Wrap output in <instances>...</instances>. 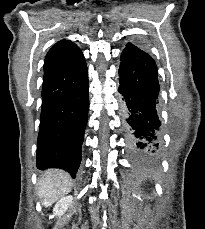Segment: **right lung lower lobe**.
I'll return each instance as SVG.
<instances>
[{"label":"right lung lower lobe","mask_w":205,"mask_h":229,"mask_svg":"<svg viewBox=\"0 0 205 229\" xmlns=\"http://www.w3.org/2000/svg\"><path fill=\"white\" fill-rule=\"evenodd\" d=\"M88 90L85 59L75 67H68L52 47L44 62L38 169L60 168L75 178L88 120Z\"/></svg>","instance_id":"98d812e1"}]
</instances>
